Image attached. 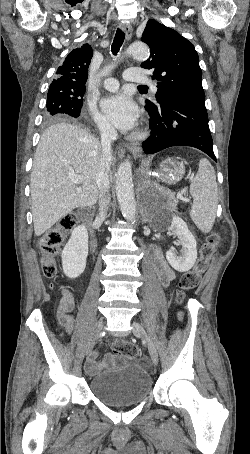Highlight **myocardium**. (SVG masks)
<instances>
[{
	"instance_id": "f54148a6",
	"label": "myocardium",
	"mask_w": 250,
	"mask_h": 454,
	"mask_svg": "<svg viewBox=\"0 0 250 454\" xmlns=\"http://www.w3.org/2000/svg\"><path fill=\"white\" fill-rule=\"evenodd\" d=\"M140 135H141L140 133L136 134V136H140Z\"/></svg>"
}]
</instances>
